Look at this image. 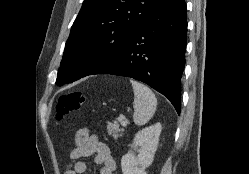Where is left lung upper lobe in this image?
<instances>
[{"label": "left lung upper lobe", "mask_w": 249, "mask_h": 174, "mask_svg": "<svg viewBox=\"0 0 249 174\" xmlns=\"http://www.w3.org/2000/svg\"><path fill=\"white\" fill-rule=\"evenodd\" d=\"M160 0H84L66 42L56 84L109 67Z\"/></svg>", "instance_id": "obj_1"}]
</instances>
